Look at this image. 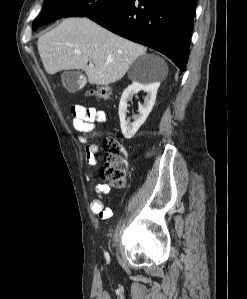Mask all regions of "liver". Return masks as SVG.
<instances>
[{
	"mask_svg": "<svg viewBox=\"0 0 247 299\" xmlns=\"http://www.w3.org/2000/svg\"><path fill=\"white\" fill-rule=\"evenodd\" d=\"M45 71L82 69L90 84L109 85L120 80L132 63L146 53L142 45L120 37L88 18H67L38 39ZM88 62L94 64L88 66ZM160 65L164 76L168 67Z\"/></svg>",
	"mask_w": 247,
	"mask_h": 299,
	"instance_id": "liver-1",
	"label": "liver"
}]
</instances>
